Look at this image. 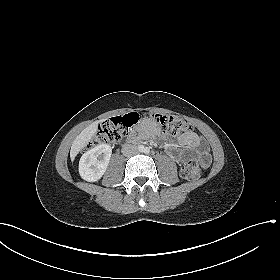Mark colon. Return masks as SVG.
I'll list each match as a JSON object with an SVG mask.
<instances>
[{
	"label": "colon",
	"instance_id": "colon-1",
	"mask_svg": "<svg viewBox=\"0 0 280 280\" xmlns=\"http://www.w3.org/2000/svg\"><path fill=\"white\" fill-rule=\"evenodd\" d=\"M156 128L168 134H181L191 132L192 126L186 120L174 116L160 113H153L149 116ZM139 120L137 113H129L104 121L92 137L90 145L115 144L119 142L125 132L134 126ZM202 172V162L196 159L187 161L181 168L180 175L186 180H195Z\"/></svg>",
	"mask_w": 280,
	"mask_h": 280
}]
</instances>
